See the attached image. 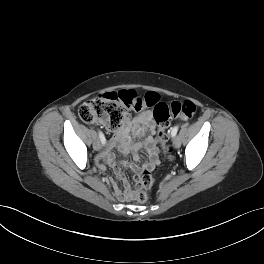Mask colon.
<instances>
[{"label": "colon", "mask_w": 264, "mask_h": 264, "mask_svg": "<svg viewBox=\"0 0 264 264\" xmlns=\"http://www.w3.org/2000/svg\"><path fill=\"white\" fill-rule=\"evenodd\" d=\"M152 108L157 122V140L163 152L170 157L171 149L168 142V128L172 118L190 119L197 107L190 100L174 101L170 104L160 101L155 92L139 95L133 90H121L104 93L83 103L78 109L79 118L85 123L99 122L109 130L118 129L129 111H141ZM154 183L151 172L147 169L140 172L135 179V192L132 197L140 203L148 199L147 190Z\"/></svg>", "instance_id": "5ec220e1"}]
</instances>
